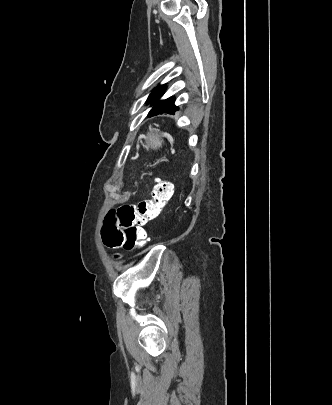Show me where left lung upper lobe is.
<instances>
[{"mask_svg":"<svg viewBox=\"0 0 332 405\" xmlns=\"http://www.w3.org/2000/svg\"><path fill=\"white\" fill-rule=\"evenodd\" d=\"M165 89H166L165 85L156 87L150 94L147 101L148 102H151L153 100L155 102L158 101V99L162 96V93H163V91H165ZM156 107L165 109V110H169V111H173V112L178 110V107L175 106V104H174V97H169L165 100L156 102Z\"/></svg>","mask_w":332,"mask_h":405,"instance_id":"obj_1","label":"left lung upper lobe"}]
</instances>
